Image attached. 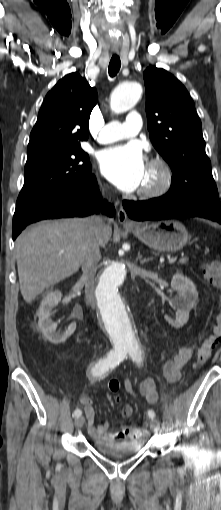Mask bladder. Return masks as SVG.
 Returning <instances> with one entry per match:
<instances>
[{
  "mask_svg": "<svg viewBox=\"0 0 221 510\" xmlns=\"http://www.w3.org/2000/svg\"><path fill=\"white\" fill-rule=\"evenodd\" d=\"M97 452L111 458H126L138 453L142 445L138 440L132 441H98L94 440Z\"/></svg>",
  "mask_w": 221,
  "mask_h": 510,
  "instance_id": "bladder-1",
  "label": "bladder"
}]
</instances>
